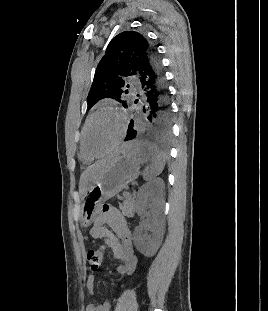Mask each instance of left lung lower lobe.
Masks as SVG:
<instances>
[{"mask_svg":"<svg viewBox=\"0 0 268 311\" xmlns=\"http://www.w3.org/2000/svg\"><path fill=\"white\" fill-rule=\"evenodd\" d=\"M137 77L141 88L137 96L142 109L138 118L131 119L124 141H169L172 118L169 94L161 61L151 47L149 59L140 63Z\"/></svg>","mask_w":268,"mask_h":311,"instance_id":"0a47b994","label":"left lung lower lobe"}]
</instances>
